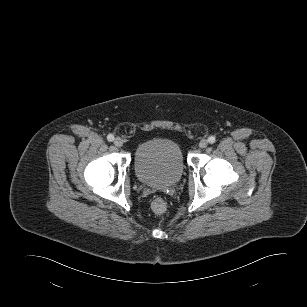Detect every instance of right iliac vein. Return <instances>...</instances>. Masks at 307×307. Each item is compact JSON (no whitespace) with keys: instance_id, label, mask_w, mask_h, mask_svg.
<instances>
[{"instance_id":"63e3f726","label":"right iliac vein","mask_w":307,"mask_h":307,"mask_svg":"<svg viewBox=\"0 0 307 307\" xmlns=\"http://www.w3.org/2000/svg\"><path fill=\"white\" fill-rule=\"evenodd\" d=\"M114 144L116 147H121L123 145V140L121 138H116Z\"/></svg>"}]
</instances>
